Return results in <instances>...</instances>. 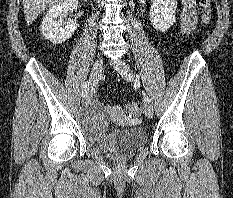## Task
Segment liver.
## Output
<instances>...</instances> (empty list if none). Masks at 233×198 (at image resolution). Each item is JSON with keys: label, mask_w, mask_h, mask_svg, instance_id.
Wrapping results in <instances>:
<instances>
[{"label": "liver", "mask_w": 233, "mask_h": 198, "mask_svg": "<svg viewBox=\"0 0 233 198\" xmlns=\"http://www.w3.org/2000/svg\"><path fill=\"white\" fill-rule=\"evenodd\" d=\"M60 0H23L26 24L29 26L45 9Z\"/></svg>", "instance_id": "1"}]
</instances>
